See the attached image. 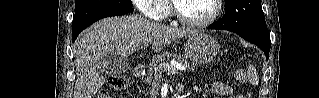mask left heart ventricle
I'll list each match as a JSON object with an SVG mask.
<instances>
[{
	"label": "left heart ventricle",
	"instance_id": "obj_1",
	"mask_svg": "<svg viewBox=\"0 0 319 98\" xmlns=\"http://www.w3.org/2000/svg\"><path fill=\"white\" fill-rule=\"evenodd\" d=\"M180 13L191 20H204L214 11L213 0H180L178 1Z\"/></svg>",
	"mask_w": 319,
	"mask_h": 98
}]
</instances>
